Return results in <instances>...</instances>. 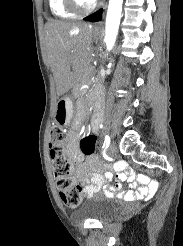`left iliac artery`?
Listing matches in <instances>:
<instances>
[{
  "instance_id": "obj_1",
  "label": "left iliac artery",
  "mask_w": 183,
  "mask_h": 246,
  "mask_svg": "<svg viewBox=\"0 0 183 246\" xmlns=\"http://www.w3.org/2000/svg\"><path fill=\"white\" fill-rule=\"evenodd\" d=\"M109 144H110V137L109 135H106L103 145V154L105 153L106 149L109 147Z\"/></svg>"
}]
</instances>
